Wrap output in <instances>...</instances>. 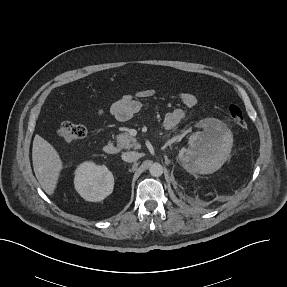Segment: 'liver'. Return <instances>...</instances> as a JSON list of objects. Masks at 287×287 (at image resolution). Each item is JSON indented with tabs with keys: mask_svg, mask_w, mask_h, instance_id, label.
<instances>
[{
	"mask_svg": "<svg viewBox=\"0 0 287 287\" xmlns=\"http://www.w3.org/2000/svg\"><path fill=\"white\" fill-rule=\"evenodd\" d=\"M32 161L37 180L43 190L52 196L57 188L63 162L57 150L38 134L33 140Z\"/></svg>",
	"mask_w": 287,
	"mask_h": 287,
	"instance_id": "1",
	"label": "liver"
}]
</instances>
